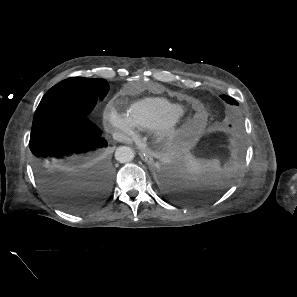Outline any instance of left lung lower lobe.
Returning <instances> with one entry per match:
<instances>
[{
  "label": "left lung lower lobe",
  "mask_w": 297,
  "mask_h": 297,
  "mask_svg": "<svg viewBox=\"0 0 297 297\" xmlns=\"http://www.w3.org/2000/svg\"><path fill=\"white\" fill-rule=\"evenodd\" d=\"M163 184L168 193L177 200H209L218 197L225 191L226 185L206 180L196 182L184 172L180 163L163 166L160 170Z\"/></svg>",
  "instance_id": "0a47b994"
}]
</instances>
